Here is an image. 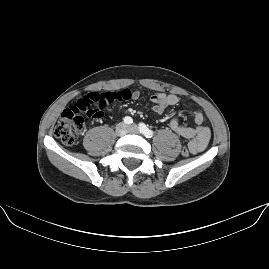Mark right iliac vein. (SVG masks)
<instances>
[{
	"label": "right iliac vein",
	"instance_id": "right-iliac-vein-1",
	"mask_svg": "<svg viewBox=\"0 0 269 269\" xmlns=\"http://www.w3.org/2000/svg\"><path fill=\"white\" fill-rule=\"evenodd\" d=\"M127 133V126L125 123H119L116 126V135L117 136H124Z\"/></svg>",
	"mask_w": 269,
	"mask_h": 269
}]
</instances>
